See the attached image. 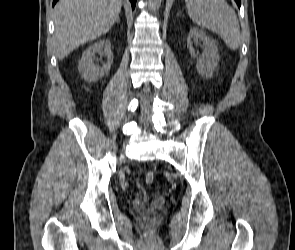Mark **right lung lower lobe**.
Returning a JSON list of instances; mask_svg holds the SVG:
<instances>
[{"mask_svg":"<svg viewBox=\"0 0 295 250\" xmlns=\"http://www.w3.org/2000/svg\"><path fill=\"white\" fill-rule=\"evenodd\" d=\"M58 0H53V6L55 5V3L57 2ZM131 1V4H132V8L135 7V4H136V0H130Z\"/></svg>","mask_w":295,"mask_h":250,"instance_id":"obj_1","label":"right lung lower lobe"}]
</instances>
